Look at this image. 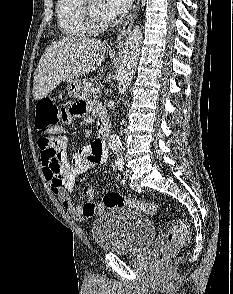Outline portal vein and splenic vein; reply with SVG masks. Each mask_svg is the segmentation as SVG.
I'll list each match as a JSON object with an SVG mask.
<instances>
[{
  "mask_svg": "<svg viewBox=\"0 0 233 294\" xmlns=\"http://www.w3.org/2000/svg\"><path fill=\"white\" fill-rule=\"evenodd\" d=\"M91 92L93 93V95H97L100 92V90L99 88H93Z\"/></svg>",
  "mask_w": 233,
  "mask_h": 294,
  "instance_id": "1",
  "label": "portal vein and splenic vein"
}]
</instances>
